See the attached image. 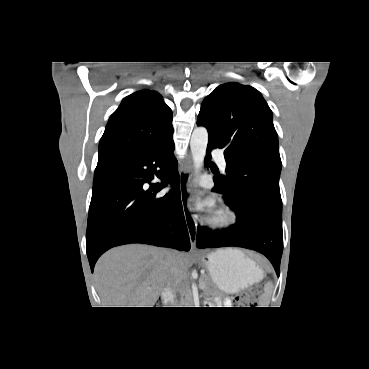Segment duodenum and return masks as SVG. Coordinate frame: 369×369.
Here are the masks:
<instances>
[{"instance_id":"obj_1","label":"duodenum","mask_w":369,"mask_h":369,"mask_svg":"<svg viewBox=\"0 0 369 369\" xmlns=\"http://www.w3.org/2000/svg\"><path fill=\"white\" fill-rule=\"evenodd\" d=\"M173 299V293L170 289H166L163 293H162V300L165 303H170L171 300Z\"/></svg>"}]
</instances>
